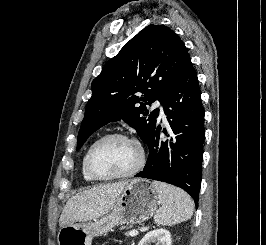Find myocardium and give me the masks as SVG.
<instances>
[{
	"mask_svg": "<svg viewBox=\"0 0 266 245\" xmlns=\"http://www.w3.org/2000/svg\"><path fill=\"white\" fill-rule=\"evenodd\" d=\"M113 138L123 139V140L129 141V142H132L133 144H135L136 147L138 148L139 157H138V160H137L135 166L129 172L124 173L122 175L104 177V176L99 175L94 170V168L92 166V157H93L95 150L102 143H104L105 141H107L109 139H113ZM144 163H145V149H144L143 145L141 144V142L138 139H136L135 137H132L128 134L121 133V132H113V133H108V134L101 136L100 138H98L96 141L93 142V144L90 146V148L88 149L87 154H86L87 172L96 181L108 182V181H116V180L130 178V177L134 176L135 174H137L141 170Z\"/></svg>",
	"mask_w": 266,
	"mask_h": 245,
	"instance_id": "obj_1",
	"label": "myocardium"
}]
</instances>
